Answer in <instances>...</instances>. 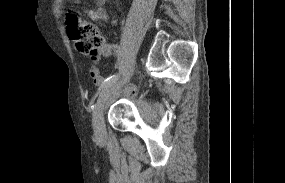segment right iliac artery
I'll return each instance as SVG.
<instances>
[{
	"label": "right iliac artery",
	"mask_w": 285,
	"mask_h": 183,
	"mask_svg": "<svg viewBox=\"0 0 285 183\" xmlns=\"http://www.w3.org/2000/svg\"><path fill=\"white\" fill-rule=\"evenodd\" d=\"M118 75H112L109 78H107L103 84L99 87L98 89V93L100 92L101 89L105 88L107 85H110L111 83L115 82V80L117 79ZM97 93V94H98Z\"/></svg>",
	"instance_id": "82829eb1"
}]
</instances>
